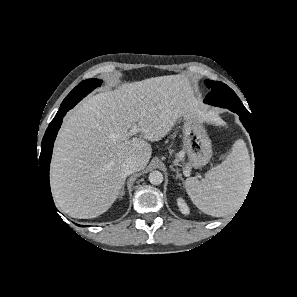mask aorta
<instances>
[{
	"label": "aorta",
	"mask_w": 297,
	"mask_h": 297,
	"mask_svg": "<svg viewBox=\"0 0 297 297\" xmlns=\"http://www.w3.org/2000/svg\"><path fill=\"white\" fill-rule=\"evenodd\" d=\"M162 181H163V175L160 171L155 170L149 174V182L152 185H160Z\"/></svg>",
	"instance_id": "1"
}]
</instances>
